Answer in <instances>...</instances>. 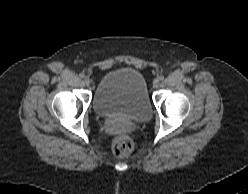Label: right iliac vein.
<instances>
[{
	"instance_id": "1",
	"label": "right iliac vein",
	"mask_w": 248,
	"mask_h": 194,
	"mask_svg": "<svg viewBox=\"0 0 248 194\" xmlns=\"http://www.w3.org/2000/svg\"><path fill=\"white\" fill-rule=\"evenodd\" d=\"M84 83L89 85L90 84V79L88 77H85L84 78Z\"/></svg>"
}]
</instances>
